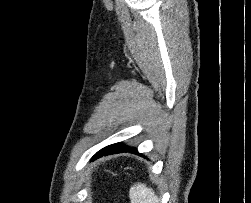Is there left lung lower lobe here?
Listing matches in <instances>:
<instances>
[{
  "label": "left lung lower lobe",
  "mask_w": 251,
  "mask_h": 203,
  "mask_svg": "<svg viewBox=\"0 0 251 203\" xmlns=\"http://www.w3.org/2000/svg\"><path fill=\"white\" fill-rule=\"evenodd\" d=\"M121 152H135V153H138L136 148L125 146L122 143H116V144L109 145V146L101 149L99 152H97L93 156V159L98 158V157H100L102 155L121 153Z\"/></svg>",
  "instance_id": "1"
}]
</instances>
